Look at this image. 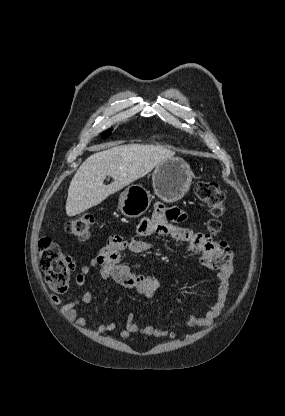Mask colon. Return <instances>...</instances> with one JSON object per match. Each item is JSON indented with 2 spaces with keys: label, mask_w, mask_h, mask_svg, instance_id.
Masks as SVG:
<instances>
[{
  "label": "colon",
  "mask_w": 285,
  "mask_h": 416,
  "mask_svg": "<svg viewBox=\"0 0 285 416\" xmlns=\"http://www.w3.org/2000/svg\"><path fill=\"white\" fill-rule=\"evenodd\" d=\"M195 194L210 212L207 223L211 235L218 234L222 229L221 217L225 212V195L220 187L211 181H199L195 185ZM94 216L92 214L80 215L66 224V231L76 237L80 242H86L91 237ZM39 261L46 273V282L54 292L62 293L67 290L75 263L58 244L49 238L39 242Z\"/></svg>",
  "instance_id": "5ec220e1"
}]
</instances>
